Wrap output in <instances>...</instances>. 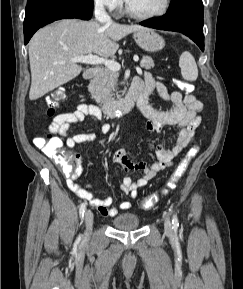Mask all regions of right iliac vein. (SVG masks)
Instances as JSON below:
<instances>
[{"label": "right iliac vein", "mask_w": 243, "mask_h": 289, "mask_svg": "<svg viewBox=\"0 0 243 289\" xmlns=\"http://www.w3.org/2000/svg\"><path fill=\"white\" fill-rule=\"evenodd\" d=\"M86 237L89 236L93 225V213L90 210L85 212Z\"/></svg>", "instance_id": "1"}]
</instances>
